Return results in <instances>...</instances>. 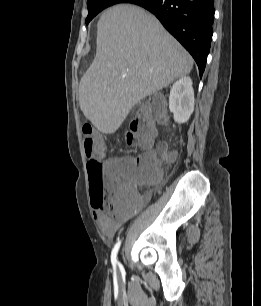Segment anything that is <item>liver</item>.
I'll list each match as a JSON object with an SVG mask.
<instances>
[{
  "mask_svg": "<svg viewBox=\"0 0 261 306\" xmlns=\"http://www.w3.org/2000/svg\"><path fill=\"white\" fill-rule=\"evenodd\" d=\"M192 67V57L156 17L134 5L113 6L97 24L96 56L79 85L80 109L100 132L112 134L135 104Z\"/></svg>",
  "mask_w": 261,
  "mask_h": 306,
  "instance_id": "obj_1",
  "label": "liver"
}]
</instances>
